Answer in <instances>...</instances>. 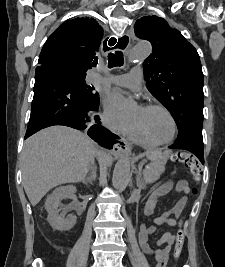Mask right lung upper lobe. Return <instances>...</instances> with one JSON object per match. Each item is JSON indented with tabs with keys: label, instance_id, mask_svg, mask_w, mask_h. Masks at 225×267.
Listing matches in <instances>:
<instances>
[{
	"label": "right lung upper lobe",
	"instance_id": "cb5924a9",
	"mask_svg": "<svg viewBox=\"0 0 225 267\" xmlns=\"http://www.w3.org/2000/svg\"><path fill=\"white\" fill-rule=\"evenodd\" d=\"M102 38L103 29L96 20L76 18L65 21L49 36L38 63L86 76V71L98 63Z\"/></svg>",
	"mask_w": 225,
	"mask_h": 267
}]
</instances>
